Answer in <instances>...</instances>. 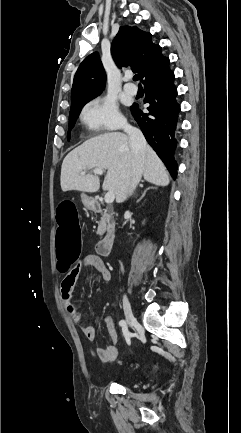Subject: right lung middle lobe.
Instances as JSON below:
<instances>
[{"label": "right lung middle lobe", "mask_w": 241, "mask_h": 433, "mask_svg": "<svg viewBox=\"0 0 241 433\" xmlns=\"http://www.w3.org/2000/svg\"><path fill=\"white\" fill-rule=\"evenodd\" d=\"M91 99L81 100L77 102L74 106L71 107L70 113H69V130H68V140L70 138V131L73 129L76 120L81 112L82 107Z\"/></svg>", "instance_id": "1"}]
</instances>
